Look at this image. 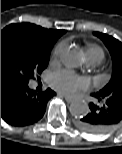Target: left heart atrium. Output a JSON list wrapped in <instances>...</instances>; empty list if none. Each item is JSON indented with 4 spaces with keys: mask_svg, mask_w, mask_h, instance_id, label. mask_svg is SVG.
I'll list each match as a JSON object with an SVG mask.
<instances>
[{
    "mask_svg": "<svg viewBox=\"0 0 122 154\" xmlns=\"http://www.w3.org/2000/svg\"><path fill=\"white\" fill-rule=\"evenodd\" d=\"M51 86L66 95H75L88 87V81L70 71L62 70L54 73L51 77Z\"/></svg>",
    "mask_w": 122,
    "mask_h": 154,
    "instance_id": "obj_1",
    "label": "left heart atrium"
}]
</instances>
